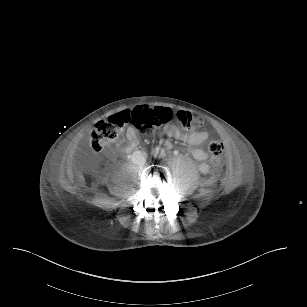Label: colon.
<instances>
[{"label": "colon", "mask_w": 307, "mask_h": 307, "mask_svg": "<svg viewBox=\"0 0 307 307\" xmlns=\"http://www.w3.org/2000/svg\"><path fill=\"white\" fill-rule=\"evenodd\" d=\"M174 117H176L179 125L187 131L196 130L203 125V121L200 118L194 117L186 110H178L174 113L166 107L138 106L120 116L113 115L107 120L100 119L90 134V149L93 153L102 151L109 142L120 135L125 124L134 125L142 133H150L172 121ZM223 149L221 141L217 139L210 140L208 151L214 166H219Z\"/></svg>", "instance_id": "1"}]
</instances>
